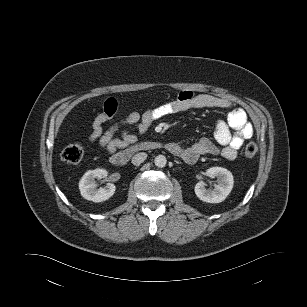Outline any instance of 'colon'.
<instances>
[{
  "instance_id": "5ec220e1",
  "label": "colon",
  "mask_w": 307,
  "mask_h": 307,
  "mask_svg": "<svg viewBox=\"0 0 307 307\" xmlns=\"http://www.w3.org/2000/svg\"><path fill=\"white\" fill-rule=\"evenodd\" d=\"M258 152L257 144L253 141L248 142L244 148V154L248 158L254 157ZM83 158V149L78 144H70L61 152V159L69 164H77Z\"/></svg>"
}]
</instances>
